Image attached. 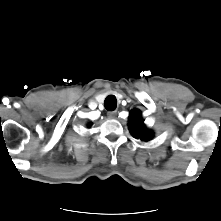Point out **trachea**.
<instances>
[{"label": "trachea", "instance_id": "1", "mask_svg": "<svg viewBox=\"0 0 221 221\" xmlns=\"http://www.w3.org/2000/svg\"><path fill=\"white\" fill-rule=\"evenodd\" d=\"M104 106L108 111L115 110L116 106H117L116 97L114 95H110V96L106 97V99L104 101Z\"/></svg>", "mask_w": 221, "mask_h": 221}]
</instances>
